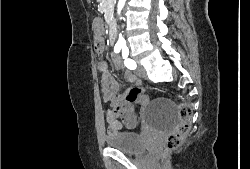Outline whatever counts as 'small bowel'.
<instances>
[{
	"mask_svg": "<svg viewBox=\"0 0 250 169\" xmlns=\"http://www.w3.org/2000/svg\"><path fill=\"white\" fill-rule=\"evenodd\" d=\"M93 29L95 32L97 31L99 34L101 33L102 25L98 19L93 21ZM94 47L97 53H102L105 49L103 40L101 39V44L95 42ZM113 65L116 70L123 69V63L119 56H113ZM98 68L102 72L105 99L110 103H122V115H110L111 108L109 107L106 115L107 132L112 134L120 130L123 126L128 129L135 128L138 123L135 113V102H129L126 99L127 92L122 95L119 94V85L115 82L112 74L109 72L106 62L99 63ZM124 78L131 84L132 88L139 87L141 84V81L129 71L124 73Z\"/></svg>",
	"mask_w": 250,
	"mask_h": 169,
	"instance_id": "1",
	"label": "small bowel"
}]
</instances>
